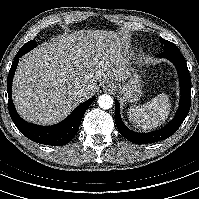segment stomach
I'll list each match as a JSON object with an SVG mask.
<instances>
[{
    "label": "stomach",
    "mask_w": 199,
    "mask_h": 199,
    "mask_svg": "<svg viewBox=\"0 0 199 199\" xmlns=\"http://www.w3.org/2000/svg\"><path fill=\"white\" fill-rule=\"evenodd\" d=\"M142 78L137 72L132 73L129 81L118 85L119 93L123 102H136L142 95Z\"/></svg>",
    "instance_id": "stomach-1"
}]
</instances>
